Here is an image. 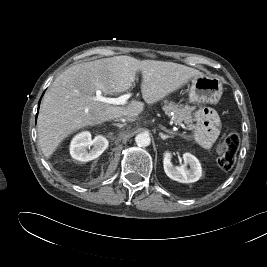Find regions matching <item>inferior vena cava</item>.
<instances>
[{"mask_svg": "<svg viewBox=\"0 0 267 267\" xmlns=\"http://www.w3.org/2000/svg\"><path fill=\"white\" fill-rule=\"evenodd\" d=\"M116 121H135L136 120V116L133 115V114H129V115H126V116H123V117H120V118H116L115 119Z\"/></svg>", "mask_w": 267, "mask_h": 267, "instance_id": "602c4592", "label": "inferior vena cava"}]
</instances>
